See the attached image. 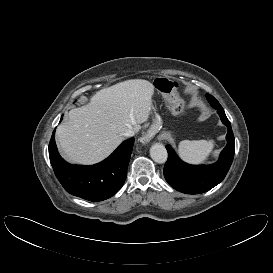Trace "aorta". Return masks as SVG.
<instances>
[{
    "label": "aorta",
    "instance_id": "762f6f07",
    "mask_svg": "<svg viewBox=\"0 0 273 273\" xmlns=\"http://www.w3.org/2000/svg\"><path fill=\"white\" fill-rule=\"evenodd\" d=\"M150 156L157 163H165L168 157L167 150L164 145L156 143L150 148Z\"/></svg>",
    "mask_w": 273,
    "mask_h": 273
}]
</instances>
